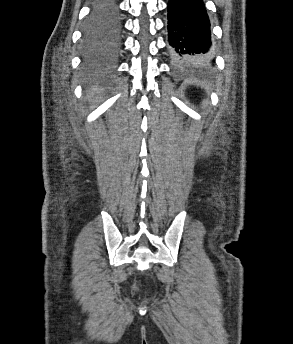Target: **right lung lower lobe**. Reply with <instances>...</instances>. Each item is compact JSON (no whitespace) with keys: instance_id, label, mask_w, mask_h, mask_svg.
Returning a JSON list of instances; mask_svg holds the SVG:
<instances>
[{"instance_id":"obj_1","label":"right lung lower lobe","mask_w":293,"mask_h":344,"mask_svg":"<svg viewBox=\"0 0 293 344\" xmlns=\"http://www.w3.org/2000/svg\"><path fill=\"white\" fill-rule=\"evenodd\" d=\"M119 32H120V20H119V27H118L117 31H115V34H114V38H115L116 43H118Z\"/></svg>"}]
</instances>
